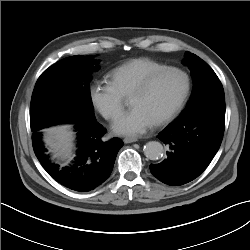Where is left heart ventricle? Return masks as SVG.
<instances>
[{
  "mask_svg": "<svg viewBox=\"0 0 250 250\" xmlns=\"http://www.w3.org/2000/svg\"><path fill=\"white\" fill-rule=\"evenodd\" d=\"M184 87L185 80L181 74L166 73L146 93L131 96L130 105L142 108L156 122L176 105Z\"/></svg>",
  "mask_w": 250,
  "mask_h": 250,
  "instance_id": "b2bd125f",
  "label": "left heart ventricle"
}]
</instances>
